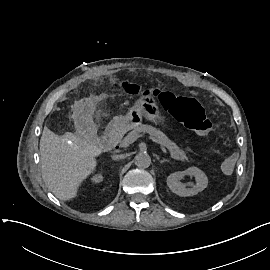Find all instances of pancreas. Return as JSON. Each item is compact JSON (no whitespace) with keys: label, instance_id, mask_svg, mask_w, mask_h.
I'll list each match as a JSON object with an SVG mask.
<instances>
[{"label":"pancreas","instance_id":"obj_1","mask_svg":"<svg viewBox=\"0 0 270 270\" xmlns=\"http://www.w3.org/2000/svg\"><path fill=\"white\" fill-rule=\"evenodd\" d=\"M132 132L136 135H139L141 132L153 135L156 141L160 142L163 147H166L170 151L171 158L175 160L191 163L195 162V159H190L188 156H186L185 151H182L178 145L173 143L163 132L157 130L155 127L149 125H141L134 128Z\"/></svg>","mask_w":270,"mask_h":270}]
</instances>
